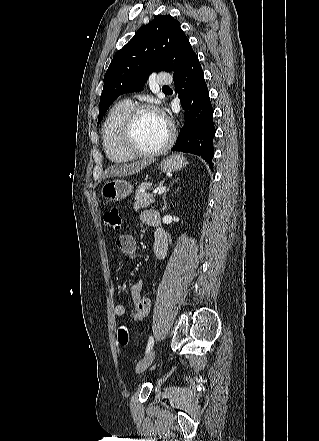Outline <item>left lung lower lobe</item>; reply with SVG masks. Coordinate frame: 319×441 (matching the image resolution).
Returning <instances> with one entry per match:
<instances>
[{
	"instance_id": "0a47b994",
	"label": "left lung lower lobe",
	"mask_w": 319,
	"mask_h": 441,
	"mask_svg": "<svg viewBox=\"0 0 319 441\" xmlns=\"http://www.w3.org/2000/svg\"><path fill=\"white\" fill-rule=\"evenodd\" d=\"M173 78L180 88L179 97L183 98L185 125L172 151L201 156L213 169V138L215 136L213 108L197 55Z\"/></svg>"
}]
</instances>
